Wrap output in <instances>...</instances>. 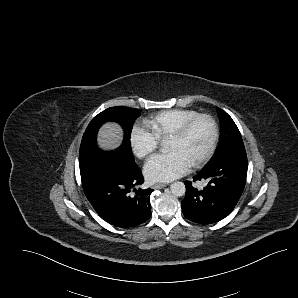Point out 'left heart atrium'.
<instances>
[{
	"instance_id": "1",
	"label": "left heart atrium",
	"mask_w": 298,
	"mask_h": 298,
	"mask_svg": "<svg viewBox=\"0 0 298 298\" xmlns=\"http://www.w3.org/2000/svg\"><path fill=\"white\" fill-rule=\"evenodd\" d=\"M189 165L175 151L153 155L144 166L146 177L155 182H167L182 176Z\"/></svg>"
}]
</instances>
